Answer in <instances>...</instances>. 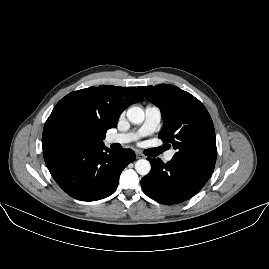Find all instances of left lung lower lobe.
<instances>
[{
  "label": "left lung lower lobe",
  "mask_w": 269,
  "mask_h": 269,
  "mask_svg": "<svg viewBox=\"0 0 269 269\" xmlns=\"http://www.w3.org/2000/svg\"><path fill=\"white\" fill-rule=\"evenodd\" d=\"M147 159L151 163V171L142 178V189L147 196L166 205L193 197L213 172L173 158L166 164L159 158Z\"/></svg>",
  "instance_id": "1"
}]
</instances>
